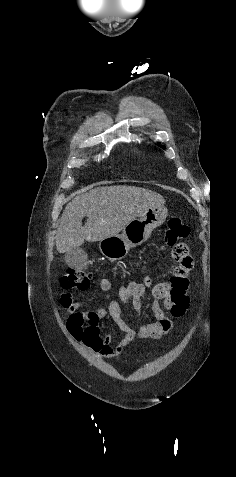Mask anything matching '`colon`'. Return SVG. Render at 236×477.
Segmentation results:
<instances>
[{
    "mask_svg": "<svg viewBox=\"0 0 236 477\" xmlns=\"http://www.w3.org/2000/svg\"><path fill=\"white\" fill-rule=\"evenodd\" d=\"M190 234V227L179 218H171L165 230V242L172 247V256L180 260L189 255L188 247L181 241ZM93 279L89 271L69 269L61 279V286L66 290H86Z\"/></svg>",
    "mask_w": 236,
    "mask_h": 477,
    "instance_id": "colon-1",
    "label": "colon"
}]
</instances>
